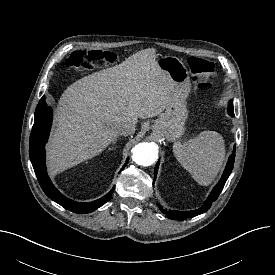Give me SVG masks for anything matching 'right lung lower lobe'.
I'll use <instances>...</instances> for the list:
<instances>
[{"instance_id": "obj_1", "label": "right lung lower lobe", "mask_w": 275, "mask_h": 275, "mask_svg": "<svg viewBox=\"0 0 275 275\" xmlns=\"http://www.w3.org/2000/svg\"><path fill=\"white\" fill-rule=\"evenodd\" d=\"M52 122V110L47 106L45 97L43 96L35 110L34 125L30 135L29 154L35 174L39 184L45 194L56 203L66 209L79 214L90 213L104 205L111 197L114 189L112 188L102 198L93 202H75L67 200L50 181L45 167V143L47 142ZM124 164L123 168L126 166Z\"/></svg>"}]
</instances>
